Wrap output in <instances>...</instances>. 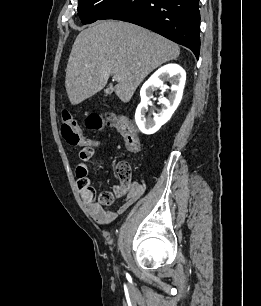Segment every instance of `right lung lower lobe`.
<instances>
[{"label": "right lung lower lobe", "mask_w": 261, "mask_h": 306, "mask_svg": "<svg viewBox=\"0 0 261 306\" xmlns=\"http://www.w3.org/2000/svg\"><path fill=\"white\" fill-rule=\"evenodd\" d=\"M137 24L188 47L199 57V0H118L98 20Z\"/></svg>", "instance_id": "right-lung-lower-lobe-1"}]
</instances>
